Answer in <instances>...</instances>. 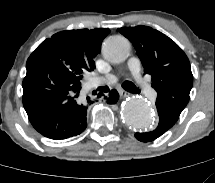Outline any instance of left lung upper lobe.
<instances>
[{
    "label": "left lung upper lobe",
    "instance_id": "1",
    "mask_svg": "<svg viewBox=\"0 0 215 183\" xmlns=\"http://www.w3.org/2000/svg\"><path fill=\"white\" fill-rule=\"evenodd\" d=\"M134 46L144 74L157 92L156 105L179 118L190 99L193 74L185 52L168 36L149 26L117 29Z\"/></svg>",
    "mask_w": 215,
    "mask_h": 183
}]
</instances>
